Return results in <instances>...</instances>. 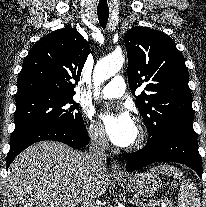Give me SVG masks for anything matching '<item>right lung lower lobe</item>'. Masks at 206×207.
<instances>
[{
    "mask_svg": "<svg viewBox=\"0 0 206 207\" xmlns=\"http://www.w3.org/2000/svg\"><path fill=\"white\" fill-rule=\"evenodd\" d=\"M44 140L60 141L72 148H82L89 143V136L86 128L79 132L57 126H45L29 130L20 136L11 138L10 150L7 154V168L21 151L35 142Z\"/></svg>",
    "mask_w": 206,
    "mask_h": 207,
    "instance_id": "obj_1",
    "label": "right lung lower lobe"
}]
</instances>
